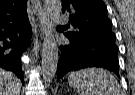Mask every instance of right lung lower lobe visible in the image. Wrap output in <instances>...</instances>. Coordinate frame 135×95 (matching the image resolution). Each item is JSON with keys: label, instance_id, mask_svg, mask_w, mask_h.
Instances as JSON below:
<instances>
[{"label": "right lung lower lobe", "instance_id": "obj_1", "mask_svg": "<svg viewBox=\"0 0 135 95\" xmlns=\"http://www.w3.org/2000/svg\"><path fill=\"white\" fill-rule=\"evenodd\" d=\"M32 35L28 16L19 21L0 23V67L12 71L24 83L21 56Z\"/></svg>", "mask_w": 135, "mask_h": 95}]
</instances>
